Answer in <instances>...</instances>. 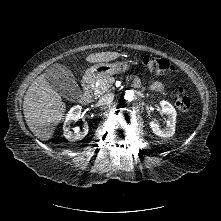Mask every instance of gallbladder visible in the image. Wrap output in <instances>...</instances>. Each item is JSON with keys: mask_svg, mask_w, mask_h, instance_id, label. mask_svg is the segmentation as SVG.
Returning <instances> with one entry per match:
<instances>
[{"mask_svg": "<svg viewBox=\"0 0 221 221\" xmlns=\"http://www.w3.org/2000/svg\"><path fill=\"white\" fill-rule=\"evenodd\" d=\"M45 80L52 89L67 99H73L78 92L75 78L63 65L50 66L45 72Z\"/></svg>", "mask_w": 221, "mask_h": 221, "instance_id": "bac80fb5", "label": "gallbladder"}]
</instances>
